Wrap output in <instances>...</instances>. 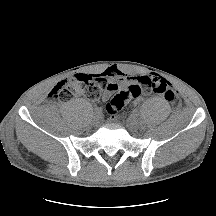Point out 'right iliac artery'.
Segmentation results:
<instances>
[{"label": "right iliac artery", "mask_w": 216, "mask_h": 216, "mask_svg": "<svg viewBox=\"0 0 216 216\" xmlns=\"http://www.w3.org/2000/svg\"><path fill=\"white\" fill-rule=\"evenodd\" d=\"M94 113H95L96 115L102 114L101 108H95V109H94Z\"/></svg>", "instance_id": "1"}]
</instances>
